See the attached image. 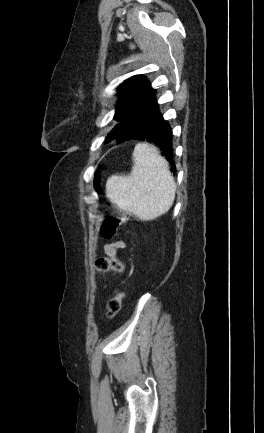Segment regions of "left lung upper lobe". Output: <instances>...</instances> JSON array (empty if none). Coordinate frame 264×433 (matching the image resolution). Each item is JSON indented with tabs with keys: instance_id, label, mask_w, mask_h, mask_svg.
Here are the masks:
<instances>
[{
	"instance_id": "1",
	"label": "left lung upper lobe",
	"mask_w": 264,
	"mask_h": 433,
	"mask_svg": "<svg viewBox=\"0 0 264 433\" xmlns=\"http://www.w3.org/2000/svg\"><path fill=\"white\" fill-rule=\"evenodd\" d=\"M119 87V104L115 111L114 118L121 121L130 107L141 97L150 87V83L142 75H135L125 80ZM118 141H125L128 138V131L122 126L121 123L116 126L108 134L106 141L109 142L113 139Z\"/></svg>"
}]
</instances>
